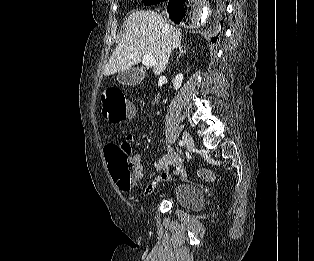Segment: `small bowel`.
<instances>
[{
	"instance_id": "small-bowel-1",
	"label": "small bowel",
	"mask_w": 314,
	"mask_h": 261,
	"mask_svg": "<svg viewBox=\"0 0 314 261\" xmlns=\"http://www.w3.org/2000/svg\"><path fill=\"white\" fill-rule=\"evenodd\" d=\"M132 112L134 113V109H132ZM128 140L131 142L132 139L129 138ZM132 161L134 164L136 177L140 178L143 174L142 156L140 154H134ZM169 164H172L174 172L179 174L183 173V167L180 158L174 153H166L164 156L154 160V169L155 171H160V173L144 188V195H150L159 183L171 179L172 173L169 169ZM153 176L154 173L150 175V178H153Z\"/></svg>"
}]
</instances>
